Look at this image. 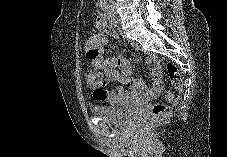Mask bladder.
Masks as SVG:
<instances>
[{"label":"bladder","mask_w":227,"mask_h":157,"mask_svg":"<svg viewBox=\"0 0 227 157\" xmlns=\"http://www.w3.org/2000/svg\"><path fill=\"white\" fill-rule=\"evenodd\" d=\"M94 116L118 125L127 126L143 114V107L139 104H126L116 107L94 106L91 108Z\"/></svg>","instance_id":"1"}]
</instances>
